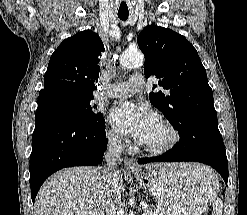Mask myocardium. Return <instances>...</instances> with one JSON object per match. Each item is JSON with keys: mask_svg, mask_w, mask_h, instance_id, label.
I'll return each instance as SVG.
<instances>
[{"mask_svg": "<svg viewBox=\"0 0 247 215\" xmlns=\"http://www.w3.org/2000/svg\"><path fill=\"white\" fill-rule=\"evenodd\" d=\"M158 123L166 131L167 139L164 143L156 146L141 144L144 152L150 155H162L172 150L179 141V133L175 126L167 119L159 118Z\"/></svg>", "mask_w": 247, "mask_h": 215, "instance_id": "1", "label": "myocardium"}]
</instances>
